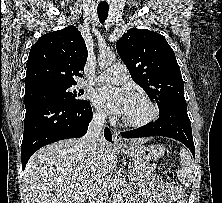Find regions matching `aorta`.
Returning <instances> with one entry per match:
<instances>
[{
  "label": "aorta",
  "instance_id": "1",
  "mask_svg": "<svg viewBox=\"0 0 222 203\" xmlns=\"http://www.w3.org/2000/svg\"><path fill=\"white\" fill-rule=\"evenodd\" d=\"M115 60L116 55L114 53H101L98 59V64L100 68L104 69L113 64ZM113 203H123V194L119 186L113 191Z\"/></svg>",
  "mask_w": 222,
  "mask_h": 203
}]
</instances>
